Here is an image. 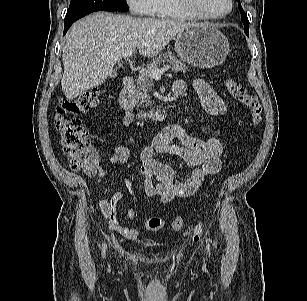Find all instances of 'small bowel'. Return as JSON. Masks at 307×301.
<instances>
[{
  "label": "small bowel",
  "mask_w": 307,
  "mask_h": 301,
  "mask_svg": "<svg viewBox=\"0 0 307 301\" xmlns=\"http://www.w3.org/2000/svg\"><path fill=\"white\" fill-rule=\"evenodd\" d=\"M198 93L205 110L212 116L218 117L226 113L225 102L204 80L196 79L192 83ZM173 89L183 92L187 89L186 82L178 80ZM134 115L126 113L122 128L127 131L132 125ZM222 144L217 137L202 141L189 135L181 126L170 124L161 129L152 139L149 146L141 154V172L145 177V194L147 198L158 197L164 204L175 198L194 194L204 184L207 177L216 174L221 169ZM176 157L186 162L192 169L180 180L174 170L168 165L158 161L155 155ZM130 150L125 144L118 145L109 158L112 164H126L130 159ZM99 183L101 184L106 170L99 157L97 161ZM117 181L102 185L104 198L100 201L102 215L108 221L109 227L127 239H136L139 232L136 228L124 226L118 217V205L123 195L121 192L110 194L116 187ZM134 211L127 213L129 219L133 218Z\"/></svg>",
  "instance_id": "small-bowel-1"
}]
</instances>
